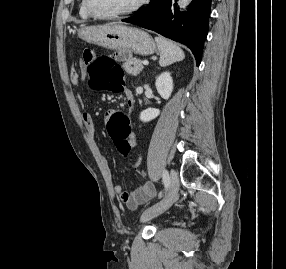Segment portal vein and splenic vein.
<instances>
[{"label": "portal vein and splenic vein", "mask_w": 286, "mask_h": 269, "mask_svg": "<svg viewBox=\"0 0 286 269\" xmlns=\"http://www.w3.org/2000/svg\"><path fill=\"white\" fill-rule=\"evenodd\" d=\"M142 63H143L144 65H148V61H147V60H144Z\"/></svg>", "instance_id": "1"}]
</instances>
